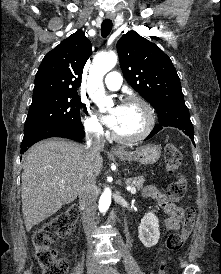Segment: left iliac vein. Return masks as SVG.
Returning a JSON list of instances; mask_svg holds the SVG:
<instances>
[{"instance_id": "obj_1", "label": "left iliac vein", "mask_w": 221, "mask_h": 274, "mask_svg": "<svg viewBox=\"0 0 221 274\" xmlns=\"http://www.w3.org/2000/svg\"><path fill=\"white\" fill-rule=\"evenodd\" d=\"M98 274H119L117 271L113 268H110L108 266H102L98 270Z\"/></svg>"}]
</instances>
